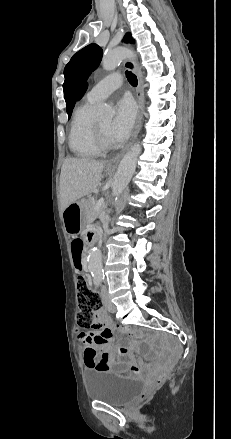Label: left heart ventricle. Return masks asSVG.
<instances>
[{
  "label": "left heart ventricle",
  "instance_id": "obj_1",
  "mask_svg": "<svg viewBox=\"0 0 231 439\" xmlns=\"http://www.w3.org/2000/svg\"><path fill=\"white\" fill-rule=\"evenodd\" d=\"M98 124H99L100 128L102 129L103 133L105 134L106 138L111 142L110 137H109V129H110V125H111V119L99 120Z\"/></svg>",
  "mask_w": 231,
  "mask_h": 439
}]
</instances>
